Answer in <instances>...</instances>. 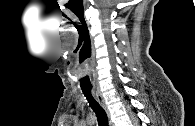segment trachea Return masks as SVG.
I'll use <instances>...</instances> for the list:
<instances>
[{"mask_svg":"<svg viewBox=\"0 0 195 126\" xmlns=\"http://www.w3.org/2000/svg\"><path fill=\"white\" fill-rule=\"evenodd\" d=\"M82 92L89 105L96 113L99 126H108V117L103 107L96 101L92 95V87H82Z\"/></svg>","mask_w":195,"mask_h":126,"instance_id":"trachea-1","label":"trachea"}]
</instances>
